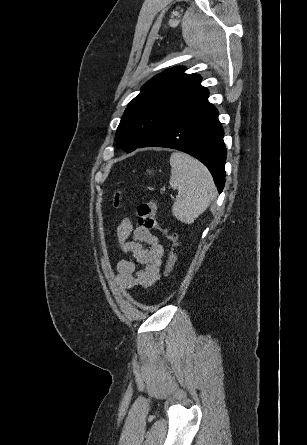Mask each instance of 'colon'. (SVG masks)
Returning a JSON list of instances; mask_svg holds the SVG:
<instances>
[{
    "mask_svg": "<svg viewBox=\"0 0 307 445\" xmlns=\"http://www.w3.org/2000/svg\"><path fill=\"white\" fill-rule=\"evenodd\" d=\"M120 193H116L114 198V207H118L120 204ZM157 203L155 200H150L148 203H142L138 206L140 213L139 226L146 229L158 230L168 241L169 249L166 257V265L164 270V276L168 277L174 269L177 260L176 248L179 244L178 235L175 232H171L169 229L161 227L156 221Z\"/></svg>",
    "mask_w": 307,
    "mask_h": 445,
    "instance_id": "5ec220e1",
    "label": "colon"
}]
</instances>
